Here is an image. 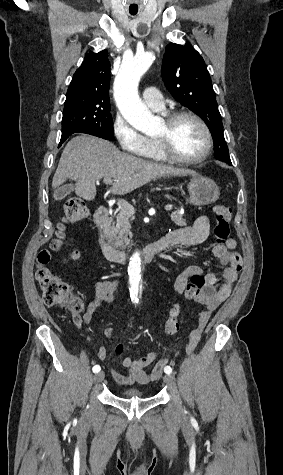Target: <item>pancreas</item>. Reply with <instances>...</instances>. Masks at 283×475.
<instances>
[{"label": "pancreas", "instance_id": "obj_1", "mask_svg": "<svg viewBox=\"0 0 283 475\" xmlns=\"http://www.w3.org/2000/svg\"><path fill=\"white\" fill-rule=\"evenodd\" d=\"M116 218V222H112V228H110L108 234H106V239H108L110 245H113V247H116V249L120 251V249H126L131 241L132 232H130V220H132L133 214L130 210H123ZM170 218L176 226H186V220H184L183 214H180V210L172 212Z\"/></svg>", "mask_w": 283, "mask_h": 475}]
</instances>
